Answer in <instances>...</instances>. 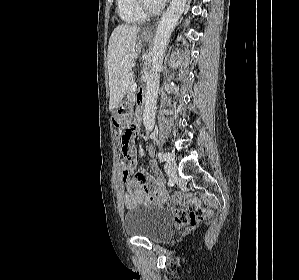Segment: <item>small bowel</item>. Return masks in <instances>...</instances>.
<instances>
[{
	"instance_id": "c3829d8e",
	"label": "small bowel",
	"mask_w": 299,
	"mask_h": 280,
	"mask_svg": "<svg viewBox=\"0 0 299 280\" xmlns=\"http://www.w3.org/2000/svg\"><path fill=\"white\" fill-rule=\"evenodd\" d=\"M129 128L135 133L139 128V121L132 123ZM133 157L136 153L132 146ZM150 154L154 153V149H149ZM153 174L144 170L136 173V175L127 180L126 193L124 194V206L127 209H134L140 205L149 207L152 204L162 203H178L181 201L180 196H169L164 179L155 160L150 162Z\"/></svg>"
}]
</instances>
